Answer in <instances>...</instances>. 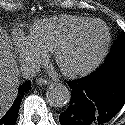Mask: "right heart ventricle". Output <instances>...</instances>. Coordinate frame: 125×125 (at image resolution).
I'll return each instance as SVG.
<instances>
[{
  "label": "right heart ventricle",
  "mask_w": 125,
  "mask_h": 125,
  "mask_svg": "<svg viewBox=\"0 0 125 125\" xmlns=\"http://www.w3.org/2000/svg\"><path fill=\"white\" fill-rule=\"evenodd\" d=\"M88 20L90 18L71 15L37 20L30 28V36L41 51L52 53L59 41Z\"/></svg>",
  "instance_id": "right-heart-ventricle-1"
}]
</instances>
